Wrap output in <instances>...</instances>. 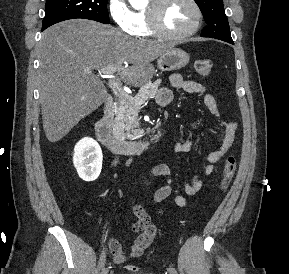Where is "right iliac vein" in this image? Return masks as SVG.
I'll return each instance as SVG.
<instances>
[{
  "label": "right iliac vein",
  "mask_w": 289,
  "mask_h": 274,
  "mask_svg": "<svg viewBox=\"0 0 289 274\" xmlns=\"http://www.w3.org/2000/svg\"><path fill=\"white\" fill-rule=\"evenodd\" d=\"M109 270L106 267H103L101 270V274H108Z\"/></svg>",
  "instance_id": "1"
}]
</instances>
